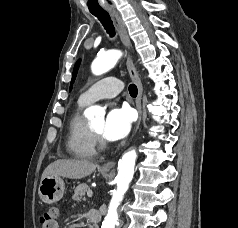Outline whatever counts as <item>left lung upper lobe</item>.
Instances as JSON below:
<instances>
[{"mask_svg": "<svg viewBox=\"0 0 238 228\" xmlns=\"http://www.w3.org/2000/svg\"><path fill=\"white\" fill-rule=\"evenodd\" d=\"M79 64H80V60L77 61V63L75 64L74 70H73V75H72V80H71V85H70V91L72 89V85H73L74 80L76 78L77 71H78V68H79Z\"/></svg>", "mask_w": 238, "mask_h": 228, "instance_id": "1", "label": "left lung upper lobe"}]
</instances>
